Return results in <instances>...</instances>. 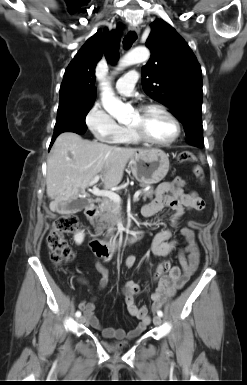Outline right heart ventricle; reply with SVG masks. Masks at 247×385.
<instances>
[{
	"label": "right heart ventricle",
	"instance_id": "e07e8e85",
	"mask_svg": "<svg viewBox=\"0 0 247 385\" xmlns=\"http://www.w3.org/2000/svg\"><path fill=\"white\" fill-rule=\"evenodd\" d=\"M137 141L138 140L135 138V136L132 134L129 128L127 127L122 128V132L118 140V143L133 144V143H136Z\"/></svg>",
	"mask_w": 247,
	"mask_h": 385
}]
</instances>
